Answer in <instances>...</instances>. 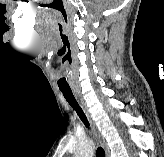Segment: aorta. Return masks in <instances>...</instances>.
Masks as SVG:
<instances>
[{
  "label": "aorta",
  "mask_w": 164,
  "mask_h": 157,
  "mask_svg": "<svg viewBox=\"0 0 164 157\" xmlns=\"http://www.w3.org/2000/svg\"><path fill=\"white\" fill-rule=\"evenodd\" d=\"M95 145L91 141L82 142L76 151L75 157H93Z\"/></svg>",
  "instance_id": "762f6f07"
}]
</instances>
